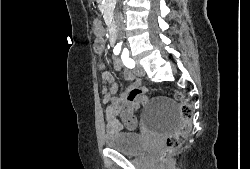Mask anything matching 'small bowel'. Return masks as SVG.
I'll use <instances>...</instances> for the list:
<instances>
[{
    "label": "small bowel",
    "mask_w": 250,
    "mask_h": 169,
    "mask_svg": "<svg viewBox=\"0 0 250 169\" xmlns=\"http://www.w3.org/2000/svg\"><path fill=\"white\" fill-rule=\"evenodd\" d=\"M94 32L95 34L100 37L102 35V27L98 21L94 22ZM94 50L97 53H102L105 50L104 41L101 38H97L94 43ZM113 66L115 70H122L123 65L119 58H115L113 61ZM98 67L101 70L105 69V65L100 63ZM124 78L131 83V86L128 90L120 95H116L118 90L117 84L114 82L113 76L105 72L103 74V79L105 82V100L109 102V106L107 107L106 111V131L107 134L112 135L118 133L124 129L133 131L138 126V120L136 116V112L139 108V102L137 101H130L127 98V93L133 88H137L141 85L140 79H138L134 73L131 71L125 70L123 72ZM112 103H121V115H111V104ZM120 119V120H119Z\"/></svg>",
    "instance_id": "1"
}]
</instances>
